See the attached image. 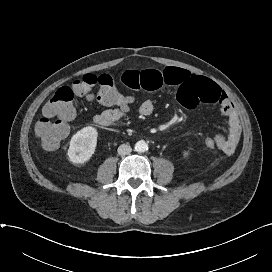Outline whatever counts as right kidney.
<instances>
[{"mask_svg": "<svg viewBox=\"0 0 272 272\" xmlns=\"http://www.w3.org/2000/svg\"><path fill=\"white\" fill-rule=\"evenodd\" d=\"M97 130L92 126H87L79 130L70 141L68 158L74 164H84L88 162L95 152L97 145Z\"/></svg>", "mask_w": 272, "mask_h": 272, "instance_id": "1", "label": "right kidney"}]
</instances>
